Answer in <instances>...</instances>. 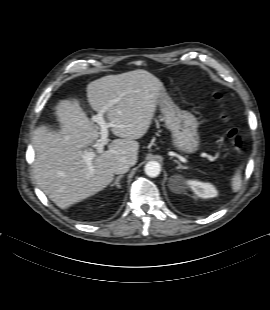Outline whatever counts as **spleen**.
Here are the masks:
<instances>
[{
	"label": "spleen",
	"instance_id": "3e777b00",
	"mask_svg": "<svg viewBox=\"0 0 270 310\" xmlns=\"http://www.w3.org/2000/svg\"><path fill=\"white\" fill-rule=\"evenodd\" d=\"M241 168H242V166L236 170V173L232 178V189L234 192H236L240 189V186L242 183V181H241Z\"/></svg>",
	"mask_w": 270,
	"mask_h": 310
}]
</instances>
